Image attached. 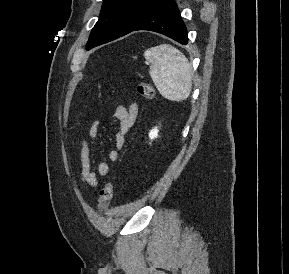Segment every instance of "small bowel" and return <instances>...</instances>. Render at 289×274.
I'll return each mask as SVG.
<instances>
[{"instance_id": "obj_1", "label": "small bowel", "mask_w": 289, "mask_h": 274, "mask_svg": "<svg viewBox=\"0 0 289 274\" xmlns=\"http://www.w3.org/2000/svg\"><path fill=\"white\" fill-rule=\"evenodd\" d=\"M138 113L136 103H131L129 106L118 105L115 109V118L117 123V132L115 135L114 147L108 153L109 159L116 162L119 159L120 151L125 146L126 135L133 126ZM99 133V121H92L88 129V137L92 145L96 144ZM89 141L83 138L80 143V160H81V181L84 185L96 188L99 184L98 175L106 176L111 171V166L101 161L96 165L91 159L93 148Z\"/></svg>"}]
</instances>
